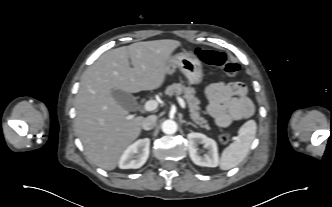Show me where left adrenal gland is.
I'll list each match as a JSON object with an SVG mask.
<instances>
[{"instance_id": "1", "label": "left adrenal gland", "mask_w": 332, "mask_h": 207, "mask_svg": "<svg viewBox=\"0 0 332 207\" xmlns=\"http://www.w3.org/2000/svg\"><path fill=\"white\" fill-rule=\"evenodd\" d=\"M186 125H192V126H194V127H196V125H194L193 123H191V122H184Z\"/></svg>"}]
</instances>
